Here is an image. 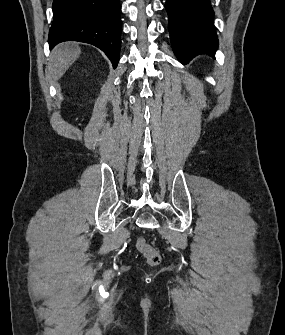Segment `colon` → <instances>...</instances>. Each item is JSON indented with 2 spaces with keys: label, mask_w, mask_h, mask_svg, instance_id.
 Masks as SVG:
<instances>
[{
  "label": "colon",
  "mask_w": 285,
  "mask_h": 335,
  "mask_svg": "<svg viewBox=\"0 0 285 335\" xmlns=\"http://www.w3.org/2000/svg\"><path fill=\"white\" fill-rule=\"evenodd\" d=\"M136 248L144 256L149 265L155 266L160 263L161 255L159 251L149 244L143 237H139L136 240Z\"/></svg>",
  "instance_id": "5ec220e1"
}]
</instances>
